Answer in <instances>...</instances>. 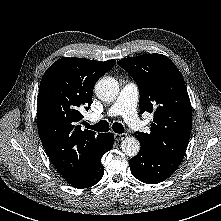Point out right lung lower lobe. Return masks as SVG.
<instances>
[{
	"mask_svg": "<svg viewBox=\"0 0 221 221\" xmlns=\"http://www.w3.org/2000/svg\"><path fill=\"white\" fill-rule=\"evenodd\" d=\"M114 143V135L112 133H106L103 135L102 144L98 152L96 161L92 164L87 173L78 181L71 184L73 187L82 189L88 188L98 183L103 177L104 167L101 164V157L104 153L108 152Z\"/></svg>",
	"mask_w": 221,
	"mask_h": 221,
	"instance_id": "obj_1",
	"label": "right lung lower lobe"
}]
</instances>
